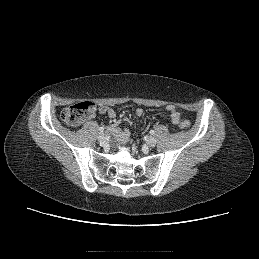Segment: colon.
Here are the masks:
<instances>
[{
  "mask_svg": "<svg viewBox=\"0 0 259 259\" xmlns=\"http://www.w3.org/2000/svg\"><path fill=\"white\" fill-rule=\"evenodd\" d=\"M96 109V105L92 102H78L63 109L61 119L70 126H77L92 116ZM178 123L181 129H187L190 126V122L186 118L179 119Z\"/></svg>",
  "mask_w": 259,
  "mask_h": 259,
  "instance_id": "1",
  "label": "colon"
}]
</instances>
